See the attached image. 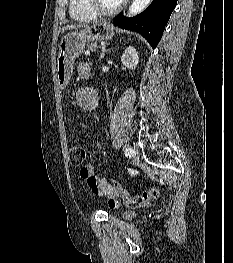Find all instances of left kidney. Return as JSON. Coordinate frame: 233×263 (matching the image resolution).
Listing matches in <instances>:
<instances>
[{"mask_svg":"<svg viewBox=\"0 0 233 263\" xmlns=\"http://www.w3.org/2000/svg\"><path fill=\"white\" fill-rule=\"evenodd\" d=\"M121 61L126 68L134 70L139 63V57L136 49L132 46H129L127 49H125L121 57Z\"/></svg>","mask_w":233,"mask_h":263,"instance_id":"obj_1","label":"left kidney"}]
</instances>
